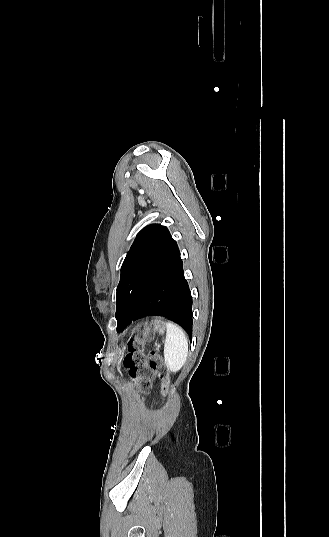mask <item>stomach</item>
<instances>
[{
  "mask_svg": "<svg viewBox=\"0 0 329 537\" xmlns=\"http://www.w3.org/2000/svg\"><path fill=\"white\" fill-rule=\"evenodd\" d=\"M148 328L155 334L163 335L167 329V323L161 318H155Z\"/></svg>",
  "mask_w": 329,
  "mask_h": 537,
  "instance_id": "1",
  "label": "stomach"
}]
</instances>
